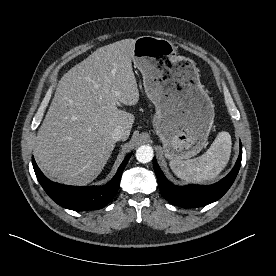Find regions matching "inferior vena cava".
Segmentation results:
<instances>
[{"mask_svg":"<svg viewBox=\"0 0 276 276\" xmlns=\"http://www.w3.org/2000/svg\"><path fill=\"white\" fill-rule=\"evenodd\" d=\"M112 138L114 141L124 140L126 138V133L121 126H117L114 129Z\"/></svg>","mask_w":276,"mask_h":276,"instance_id":"obj_1","label":"inferior vena cava"}]
</instances>
